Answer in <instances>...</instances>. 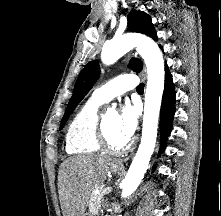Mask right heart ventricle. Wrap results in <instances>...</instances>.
Here are the masks:
<instances>
[{"mask_svg": "<svg viewBox=\"0 0 221 216\" xmlns=\"http://www.w3.org/2000/svg\"><path fill=\"white\" fill-rule=\"evenodd\" d=\"M101 104L89 99L70 122L66 133V151L69 154H93L101 151L98 137V109Z\"/></svg>", "mask_w": 221, "mask_h": 216, "instance_id": "e07e8e85", "label": "right heart ventricle"}]
</instances>
